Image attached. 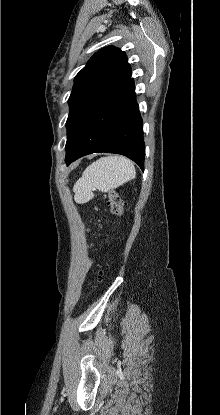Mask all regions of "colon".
Masks as SVG:
<instances>
[{"instance_id": "5ec220e1", "label": "colon", "mask_w": 220, "mask_h": 415, "mask_svg": "<svg viewBox=\"0 0 220 415\" xmlns=\"http://www.w3.org/2000/svg\"><path fill=\"white\" fill-rule=\"evenodd\" d=\"M107 203L112 214L121 216L124 212V202L120 194L111 192L107 196Z\"/></svg>"}]
</instances>
